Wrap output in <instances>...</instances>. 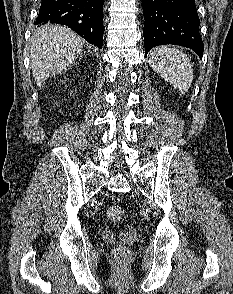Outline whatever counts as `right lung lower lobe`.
Wrapping results in <instances>:
<instances>
[{"label":"right lung lower lobe","instance_id":"1","mask_svg":"<svg viewBox=\"0 0 233 294\" xmlns=\"http://www.w3.org/2000/svg\"><path fill=\"white\" fill-rule=\"evenodd\" d=\"M103 3L104 0H43L34 24L66 25L101 49Z\"/></svg>","mask_w":233,"mask_h":294}]
</instances>
